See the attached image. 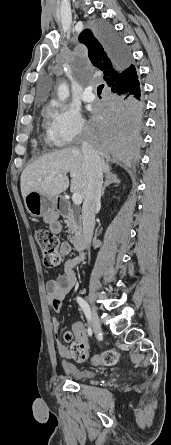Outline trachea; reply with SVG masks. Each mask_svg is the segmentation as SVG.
Masks as SVG:
<instances>
[{
  "label": "trachea",
  "mask_w": 171,
  "mask_h": 445,
  "mask_svg": "<svg viewBox=\"0 0 171 445\" xmlns=\"http://www.w3.org/2000/svg\"><path fill=\"white\" fill-rule=\"evenodd\" d=\"M103 88H104V85H103V84L100 85V86H98V88H97V93H98V95H100V94L102 93Z\"/></svg>",
  "instance_id": "trachea-1"
}]
</instances>
